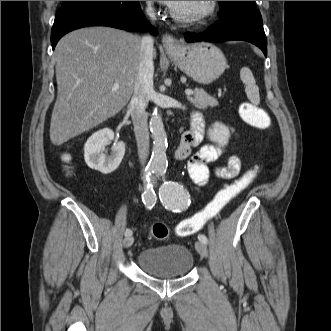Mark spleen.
<instances>
[{
	"instance_id": "3e777b00",
	"label": "spleen",
	"mask_w": 331,
	"mask_h": 331,
	"mask_svg": "<svg viewBox=\"0 0 331 331\" xmlns=\"http://www.w3.org/2000/svg\"><path fill=\"white\" fill-rule=\"evenodd\" d=\"M240 78L245 84V92L247 98L254 104L258 105L260 102L259 88L256 85L254 76L251 70L247 67H244L240 71Z\"/></svg>"
}]
</instances>
